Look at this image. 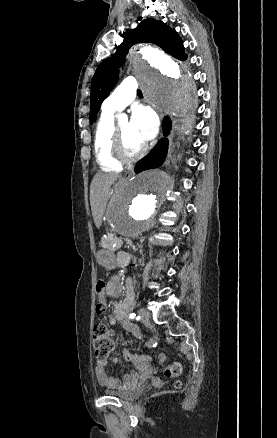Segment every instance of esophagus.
Masks as SVG:
<instances>
[{
    "label": "esophagus",
    "instance_id": "1",
    "mask_svg": "<svg viewBox=\"0 0 277 438\" xmlns=\"http://www.w3.org/2000/svg\"><path fill=\"white\" fill-rule=\"evenodd\" d=\"M159 115H160V117L162 119L163 115L161 113H159ZM162 136H163V133H162V128H161V130H160V137H162ZM131 176H133V171H129L128 174L125 175V178H130Z\"/></svg>",
    "mask_w": 277,
    "mask_h": 438
}]
</instances>
